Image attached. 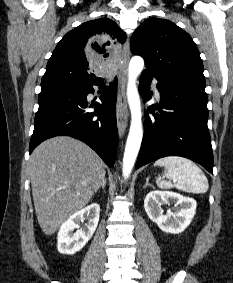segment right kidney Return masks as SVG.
<instances>
[{
    "mask_svg": "<svg viewBox=\"0 0 233 283\" xmlns=\"http://www.w3.org/2000/svg\"><path fill=\"white\" fill-rule=\"evenodd\" d=\"M99 213L100 206L93 203L70 216L58 232V251L67 255L80 251L94 234L99 221ZM84 221L86 223L80 227V223ZM75 229H77L76 232Z\"/></svg>",
    "mask_w": 233,
    "mask_h": 283,
    "instance_id": "ca27d5eb",
    "label": "right kidney"
}]
</instances>
